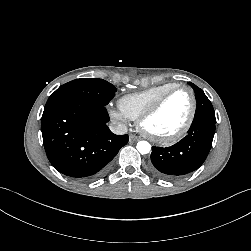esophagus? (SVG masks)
Masks as SVG:
<instances>
[{"mask_svg":"<svg viewBox=\"0 0 251 251\" xmlns=\"http://www.w3.org/2000/svg\"><path fill=\"white\" fill-rule=\"evenodd\" d=\"M129 140H130L131 142H135V141L140 140V137L131 134V135L129 136Z\"/></svg>","mask_w":251,"mask_h":251,"instance_id":"esophagus-1","label":"esophagus"}]
</instances>
